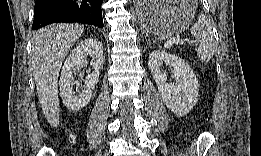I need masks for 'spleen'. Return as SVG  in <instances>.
I'll list each match as a JSON object with an SVG mask.
<instances>
[{"label":"spleen","instance_id":"3e777b00","mask_svg":"<svg viewBox=\"0 0 261 156\" xmlns=\"http://www.w3.org/2000/svg\"><path fill=\"white\" fill-rule=\"evenodd\" d=\"M190 31L199 42L196 49L198 58L202 62L209 61L215 53V40L210 22L204 15H199L197 21L193 22Z\"/></svg>","mask_w":261,"mask_h":156}]
</instances>
